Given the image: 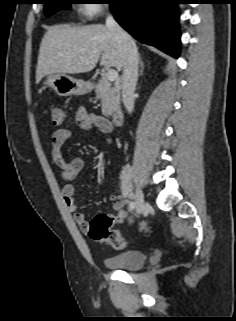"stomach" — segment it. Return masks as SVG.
<instances>
[{"mask_svg":"<svg viewBox=\"0 0 236 321\" xmlns=\"http://www.w3.org/2000/svg\"><path fill=\"white\" fill-rule=\"evenodd\" d=\"M44 84L54 89L59 96L82 95L89 91L88 83L68 75H47Z\"/></svg>","mask_w":236,"mask_h":321,"instance_id":"stomach-1","label":"stomach"}]
</instances>
